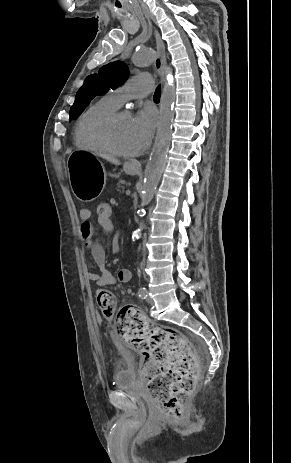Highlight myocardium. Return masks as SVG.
<instances>
[{
  "label": "myocardium",
  "instance_id": "1",
  "mask_svg": "<svg viewBox=\"0 0 291 463\" xmlns=\"http://www.w3.org/2000/svg\"><path fill=\"white\" fill-rule=\"evenodd\" d=\"M123 114H125L123 111L115 110L105 116L97 118L88 128V137L103 151L123 158H133L141 153V148L133 152L122 151L112 143L109 137V130L111 126Z\"/></svg>",
  "mask_w": 291,
  "mask_h": 463
}]
</instances>
